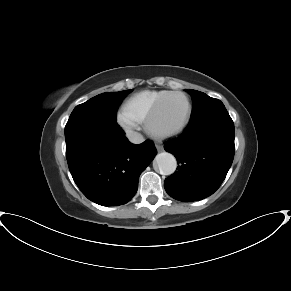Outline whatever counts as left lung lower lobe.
Instances as JSON below:
<instances>
[{
    "label": "left lung lower lobe",
    "instance_id": "1",
    "mask_svg": "<svg viewBox=\"0 0 291 291\" xmlns=\"http://www.w3.org/2000/svg\"><path fill=\"white\" fill-rule=\"evenodd\" d=\"M234 123L226 108L191 122L178 138L165 142V150L178 163L165 179L174 199L191 202L213 194L221 185L234 157Z\"/></svg>",
    "mask_w": 291,
    "mask_h": 291
}]
</instances>
